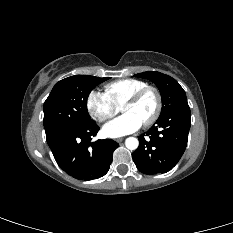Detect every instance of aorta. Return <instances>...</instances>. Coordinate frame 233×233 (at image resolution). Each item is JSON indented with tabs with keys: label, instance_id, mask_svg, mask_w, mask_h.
<instances>
[{
	"label": "aorta",
	"instance_id": "aorta-1",
	"mask_svg": "<svg viewBox=\"0 0 233 233\" xmlns=\"http://www.w3.org/2000/svg\"><path fill=\"white\" fill-rule=\"evenodd\" d=\"M125 146L126 148L130 149V150H135L138 148L139 146V141L137 138L135 137H128L126 140H125Z\"/></svg>",
	"mask_w": 233,
	"mask_h": 233
}]
</instances>
